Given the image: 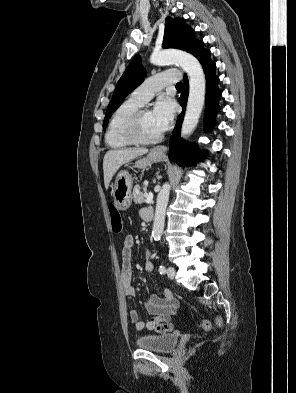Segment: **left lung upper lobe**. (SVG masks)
I'll use <instances>...</instances> for the list:
<instances>
[{
	"instance_id": "1",
	"label": "left lung upper lobe",
	"mask_w": 296,
	"mask_h": 393,
	"mask_svg": "<svg viewBox=\"0 0 296 393\" xmlns=\"http://www.w3.org/2000/svg\"><path fill=\"white\" fill-rule=\"evenodd\" d=\"M163 47L184 50L194 55L199 61L209 52L203 47V41L194 37V30L186 25L183 19L171 17H168L165 22ZM145 72L140 56H135L116 85L106 111L103 130L106 129L109 117L121 105L124 98L143 82Z\"/></svg>"
}]
</instances>
